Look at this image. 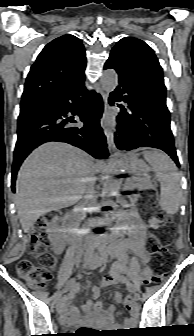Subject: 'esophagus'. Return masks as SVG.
Masks as SVG:
<instances>
[{"mask_svg":"<svg viewBox=\"0 0 194 336\" xmlns=\"http://www.w3.org/2000/svg\"><path fill=\"white\" fill-rule=\"evenodd\" d=\"M103 102H104V111H103L102 121L104 123V132H105V136H106V139H107V143H108L109 148L113 152L118 153L119 151L117 150V147L115 145L113 133L106 124V118H107L108 110H109V95H108V93L103 94Z\"/></svg>","mask_w":194,"mask_h":336,"instance_id":"1","label":"esophagus"}]
</instances>
